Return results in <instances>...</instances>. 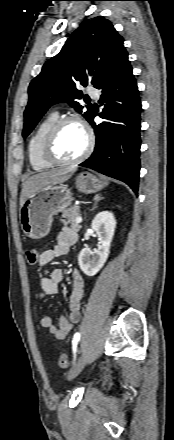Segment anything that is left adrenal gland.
Segmentation results:
<instances>
[{
	"instance_id": "left-adrenal-gland-1",
	"label": "left adrenal gland",
	"mask_w": 174,
	"mask_h": 440,
	"mask_svg": "<svg viewBox=\"0 0 174 440\" xmlns=\"http://www.w3.org/2000/svg\"><path fill=\"white\" fill-rule=\"evenodd\" d=\"M102 199H104V197H102L101 195H95L93 200H94V206L91 209V211H93L94 209L97 208L98 202L101 201Z\"/></svg>"
}]
</instances>
